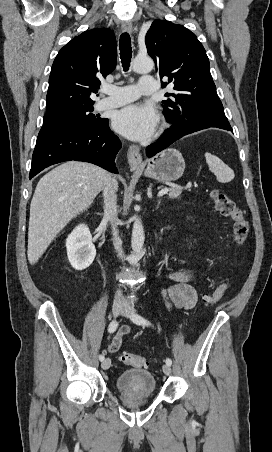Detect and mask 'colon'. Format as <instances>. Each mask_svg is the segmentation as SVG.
I'll return each instance as SVG.
<instances>
[{
	"label": "colon",
	"mask_w": 272,
	"mask_h": 452,
	"mask_svg": "<svg viewBox=\"0 0 272 452\" xmlns=\"http://www.w3.org/2000/svg\"><path fill=\"white\" fill-rule=\"evenodd\" d=\"M211 198L216 210L223 216L234 221L235 240L238 244H243L247 239L249 226L241 209L228 195L219 190H213L211 192ZM226 288V283L222 282L218 284L213 292L203 294V302L207 305L215 304L220 300ZM121 361L126 365L134 367H145L148 365V360L145 357L134 353H123L121 355Z\"/></svg>",
	"instance_id": "colon-1"
}]
</instances>
